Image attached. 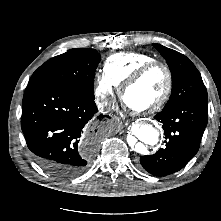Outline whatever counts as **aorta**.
Wrapping results in <instances>:
<instances>
[{
    "instance_id": "762f6f07",
    "label": "aorta",
    "mask_w": 221,
    "mask_h": 221,
    "mask_svg": "<svg viewBox=\"0 0 221 221\" xmlns=\"http://www.w3.org/2000/svg\"><path fill=\"white\" fill-rule=\"evenodd\" d=\"M133 134L143 143L149 145H155L159 140V132L151 124H138L133 128ZM141 142H135L129 140L130 145L136 152L144 154L146 147Z\"/></svg>"
}]
</instances>
